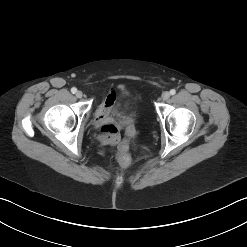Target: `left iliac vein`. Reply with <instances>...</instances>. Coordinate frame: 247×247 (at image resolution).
Returning a JSON list of instances; mask_svg holds the SVG:
<instances>
[{
  "label": "left iliac vein",
  "mask_w": 247,
  "mask_h": 247,
  "mask_svg": "<svg viewBox=\"0 0 247 247\" xmlns=\"http://www.w3.org/2000/svg\"><path fill=\"white\" fill-rule=\"evenodd\" d=\"M170 97V93L168 91H165L162 93V99L165 101V100H168Z\"/></svg>",
  "instance_id": "left-iliac-vein-1"
}]
</instances>
